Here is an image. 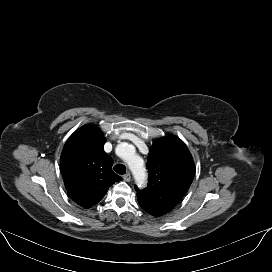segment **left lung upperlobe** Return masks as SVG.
I'll return each mask as SVG.
<instances>
[{
    "label": "left lung upper lobe",
    "instance_id": "left-lung-upper-lobe-1",
    "mask_svg": "<svg viewBox=\"0 0 272 272\" xmlns=\"http://www.w3.org/2000/svg\"><path fill=\"white\" fill-rule=\"evenodd\" d=\"M148 186L137 191L138 203L153 216L172 210L188 191L195 164L178 137H162L150 148L147 160Z\"/></svg>",
    "mask_w": 272,
    "mask_h": 272
}]
</instances>
